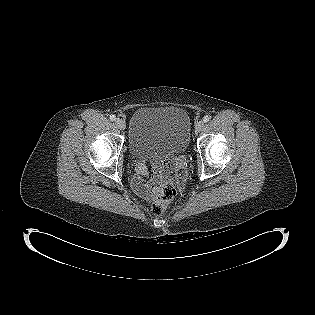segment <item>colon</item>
I'll return each instance as SVG.
<instances>
[{
	"label": "colon",
	"mask_w": 315,
	"mask_h": 315,
	"mask_svg": "<svg viewBox=\"0 0 315 315\" xmlns=\"http://www.w3.org/2000/svg\"><path fill=\"white\" fill-rule=\"evenodd\" d=\"M182 184L180 179L171 176L165 178L154 195L152 203V212L154 215L159 216L165 212L168 203L174 198Z\"/></svg>",
	"instance_id": "obj_1"
}]
</instances>
